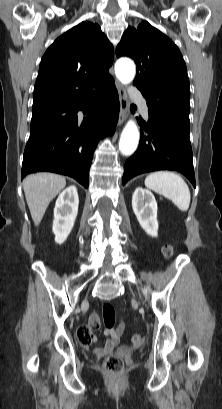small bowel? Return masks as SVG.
I'll list each match as a JSON object with an SVG mask.
<instances>
[{
  "label": "small bowel",
  "instance_id": "small-bowel-1",
  "mask_svg": "<svg viewBox=\"0 0 222 409\" xmlns=\"http://www.w3.org/2000/svg\"><path fill=\"white\" fill-rule=\"evenodd\" d=\"M86 326L88 327V331L91 334V338L89 342L83 343V345L85 347H89L96 341V337L93 335V331L99 329L100 327V322H99V318L97 314H92L90 316L88 324ZM123 329H124V325L122 322H120L115 328L106 329L105 335L108 337V340L105 346L95 348L94 352L97 355H103V354H106L112 351L114 348H116L119 344L121 335L123 333Z\"/></svg>",
  "mask_w": 222,
  "mask_h": 409
}]
</instances>
